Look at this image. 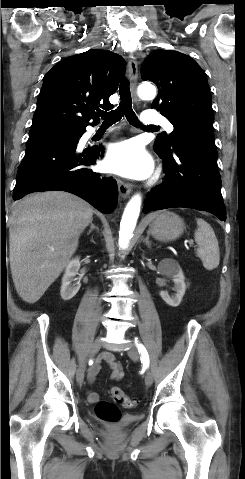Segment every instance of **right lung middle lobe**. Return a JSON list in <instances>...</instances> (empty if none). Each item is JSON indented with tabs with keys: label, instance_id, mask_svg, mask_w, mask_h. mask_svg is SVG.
<instances>
[{
	"label": "right lung middle lobe",
	"instance_id": "right-lung-middle-lobe-1",
	"mask_svg": "<svg viewBox=\"0 0 245 479\" xmlns=\"http://www.w3.org/2000/svg\"><path fill=\"white\" fill-rule=\"evenodd\" d=\"M80 131L81 130L79 129H68V128H49V129H43V130L30 131L27 147L34 145L38 142H41L43 140H46L48 138H52L59 135L79 133Z\"/></svg>",
	"mask_w": 245,
	"mask_h": 479
}]
</instances>
